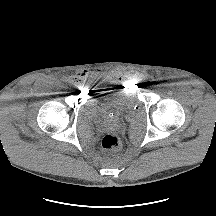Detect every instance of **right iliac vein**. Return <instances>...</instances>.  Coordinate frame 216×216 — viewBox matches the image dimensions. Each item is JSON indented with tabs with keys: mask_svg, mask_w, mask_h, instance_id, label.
<instances>
[{
	"mask_svg": "<svg viewBox=\"0 0 216 216\" xmlns=\"http://www.w3.org/2000/svg\"><path fill=\"white\" fill-rule=\"evenodd\" d=\"M71 82V81H70ZM72 83V82H71ZM69 88H72L73 90H76L77 89V86L76 85H74V83H72L70 86H69Z\"/></svg>",
	"mask_w": 216,
	"mask_h": 216,
	"instance_id": "1",
	"label": "right iliac vein"
}]
</instances>
